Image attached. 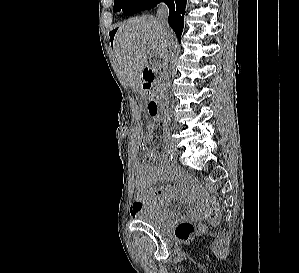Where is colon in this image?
Returning <instances> with one entry per match:
<instances>
[{
    "instance_id": "1",
    "label": "colon",
    "mask_w": 299,
    "mask_h": 273,
    "mask_svg": "<svg viewBox=\"0 0 299 273\" xmlns=\"http://www.w3.org/2000/svg\"><path fill=\"white\" fill-rule=\"evenodd\" d=\"M152 141L149 139L145 140L146 146H149ZM203 217L204 219L215 222L218 218V204L217 200L214 197H208L205 200L203 207ZM199 228L191 222H181L176 225L174 234L179 240H188L191 238Z\"/></svg>"
}]
</instances>
